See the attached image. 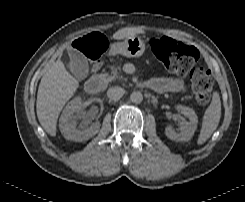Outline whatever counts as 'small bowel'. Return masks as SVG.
<instances>
[{
	"instance_id": "1",
	"label": "small bowel",
	"mask_w": 245,
	"mask_h": 202,
	"mask_svg": "<svg viewBox=\"0 0 245 202\" xmlns=\"http://www.w3.org/2000/svg\"><path fill=\"white\" fill-rule=\"evenodd\" d=\"M155 92H183L186 90V82L182 78L155 77L145 85Z\"/></svg>"
}]
</instances>
